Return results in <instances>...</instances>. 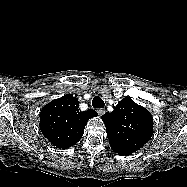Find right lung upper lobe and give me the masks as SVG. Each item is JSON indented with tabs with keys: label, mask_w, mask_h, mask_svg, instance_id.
<instances>
[{
	"label": "right lung upper lobe",
	"mask_w": 187,
	"mask_h": 187,
	"mask_svg": "<svg viewBox=\"0 0 187 187\" xmlns=\"http://www.w3.org/2000/svg\"><path fill=\"white\" fill-rule=\"evenodd\" d=\"M78 107V99L66 94L42 108L40 129L54 146L65 149L77 143L88 120L97 116L93 109L81 112Z\"/></svg>",
	"instance_id": "obj_1"
}]
</instances>
